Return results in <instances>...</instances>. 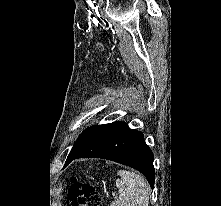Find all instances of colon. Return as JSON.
<instances>
[{
  "mask_svg": "<svg viewBox=\"0 0 221 206\" xmlns=\"http://www.w3.org/2000/svg\"><path fill=\"white\" fill-rule=\"evenodd\" d=\"M72 206H101L102 198L90 183L74 180L68 192Z\"/></svg>",
  "mask_w": 221,
  "mask_h": 206,
  "instance_id": "obj_1",
  "label": "colon"
}]
</instances>
